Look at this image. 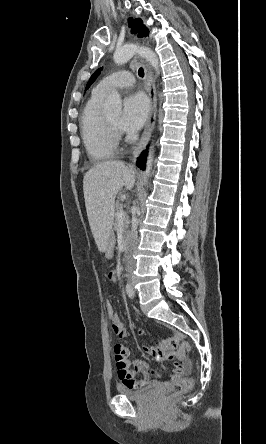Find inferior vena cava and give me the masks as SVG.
I'll list each match as a JSON object with an SVG mask.
<instances>
[{"mask_svg": "<svg viewBox=\"0 0 266 444\" xmlns=\"http://www.w3.org/2000/svg\"><path fill=\"white\" fill-rule=\"evenodd\" d=\"M137 226H138V221H137L136 215L134 214L132 216L131 231H130V235H129V245H128L129 255L127 258V270L128 271H132L135 267V261L132 257V251L136 248L137 243H138Z\"/></svg>", "mask_w": 266, "mask_h": 444, "instance_id": "obj_1", "label": "inferior vena cava"}]
</instances>
